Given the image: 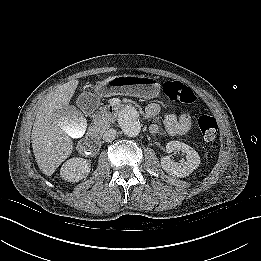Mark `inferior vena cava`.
I'll return each mask as SVG.
<instances>
[{"label":"inferior vena cava","instance_id":"inferior-vena-cava-1","mask_svg":"<svg viewBox=\"0 0 261 261\" xmlns=\"http://www.w3.org/2000/svg\"><path fill=\"white\" fill-rule=\"evenodd\" d=\"M116 137V130L115 129H108L105 131V133L103 134V140L105 142H111L112 140H114Z\"/></svg>","mask_w":261,"mask_h":261}]
</instances>
